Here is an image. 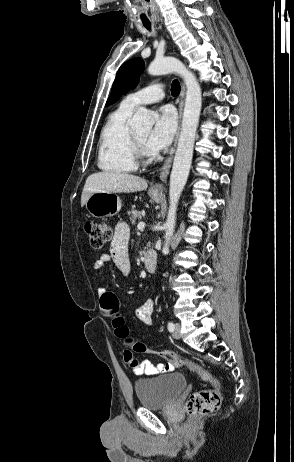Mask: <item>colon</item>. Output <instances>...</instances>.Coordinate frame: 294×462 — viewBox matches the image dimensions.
I'll use <instances>...</instances> for the list:
<instances>
[{
	"instance_id": "5ec220e1",
	"label": "colon",
	"mask_w": 294,
	"mask_h": 462,
	"mask_svg": "<svg viewBox=\"0 0 294 462\" xmlns=\"http://www.w3.org/2000/svg\"><path fill=\"white\" fill-rule=\"evenodd\" d=\"M84 232L90 246L96 250L102 249L104 245L110 241L112 235L111 228L108 224L96 221H87L84 224ZM100 307L102 314L111 320L116 335L123 340V356L128 364L131 366L137 365L139 362L134 357L133 352H142L162 356L175 366L188 367L198 373L204 381L210 383L213 388L193 393L186 402L187 412L193 416L206 415L220 408L222 398L218 389L219 383L209 371L173 352L150 348L143 343L135 342L130 337L129 330L120 314L119 299L114 292L107 290L100 297Z\"/></svg>"
}]
</instances>
